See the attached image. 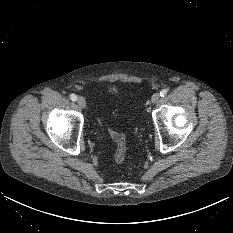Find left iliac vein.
I'll use <instances>...</instances> for the list:
<instances>
[{
  "instance_id": "left-iliac-vein-1",
  "label": "left iliac vein",
  "mask_w": 233,
  "mask_h": 233,
  "mask_svg": "<svg viewBox=\"0 0 233 233\" xmlns=\"http://www.w3.org/2000/svg\"><path fill=\"white\" fill-rule=\"evenodd\" d=\"M159 99H160V94L159 93H154L153 95H152V97H151V102L152 103H157L158 101H159Z\"/></svg>"
}]
</instances>
